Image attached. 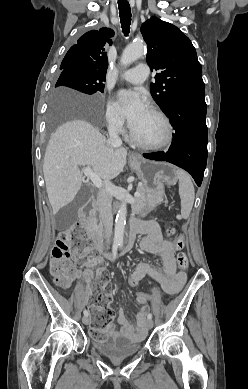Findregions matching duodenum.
<instances>
[{
	"label": "duodenum",
	"mask_w": 248,
	"mask_h": 389,
	"mask_svg": "<svg viewBox=\"0 0 248 389\" xmlns=\"http://www.w3.org/2000/svg\"><path fill=\"white\" fill-rule=\"evenodd\" d=\"M95 218H96V208L93 205L90 207V209L88 211L85 208H83L81 210L80 223L86 229L88 237H89L90 242H91V245L93 246V248L96 251L104 253L108 258H113L118 253H105L104 252L101 236L95 227ZM139 228H140V226L137 224L131 225V228L129 230V233H128V236L126 239V244L120 252L128 250L131 247V245L135 239L136 234L140 233Z\"/></svg>",
	"instance_id": "410a0bca"
}]
</instances>
